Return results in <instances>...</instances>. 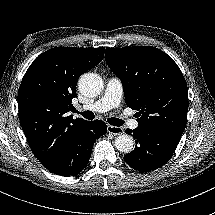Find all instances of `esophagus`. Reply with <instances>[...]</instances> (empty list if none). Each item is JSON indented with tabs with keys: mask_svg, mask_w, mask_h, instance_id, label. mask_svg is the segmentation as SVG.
Masks as SVG:
<instances>
[{
	"mask_svg": "<svg viewBox=\"0 0 215 215\" xmlns=\"http://www.w3.org/2000/svg\"><path fill=\"white\" fill-rule=\"evenodd\" d=\"M107 131L113 135H122L124 133L123 128L118 127V126H112V125L107 126Z\"/></svg>",
	"mask_w": 215,
	"mask_h": 215,
	"instance_id": "34e87169",
	"label": "esophagus"
}]
</instances>
